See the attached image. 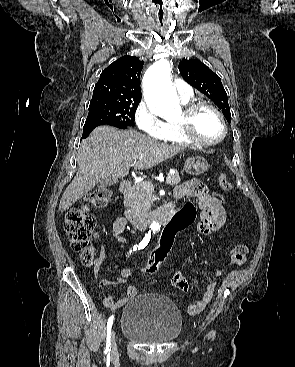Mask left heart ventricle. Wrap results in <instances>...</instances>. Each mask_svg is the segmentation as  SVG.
<instances>
[{
  "instance_id": "1",
  "label": "left heart ventricle",
  "mask_w": 295,
  "mask_h": 367,
  "mask_svg": "<svg viewBox=\"0 0 295 367\" xmlns=\"http://www.w3.org/2000/svg\"><path fill=\"white\" fill-rule=\"evenodd\" d=\"M182 118L183 113L179 117L178 121ZM193 126L197 137L204 141L216 140L222 134V126L218 117L208 108H203L197 112Z\"/></svg>"
}]
</instances>
